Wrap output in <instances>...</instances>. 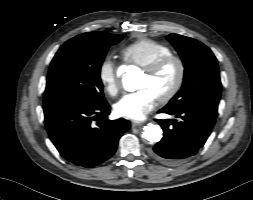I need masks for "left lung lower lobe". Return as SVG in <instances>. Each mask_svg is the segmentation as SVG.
I'll return each mask as SVG.
<instances>
[{
	"label": "left lung lower lobe",
	"instance_id": "left-lung-lower-lobe-1",
	"mask_svg": "<svg viewBox=\"0 0 253 200\" xmlns=\"http://www.w3.org/2000/svg\"><path fill=\"white\" fill-rule=\"evenodd\" d=\"M218 105L201 103L179 109L162 108L159 113L176 119L157 120L163 138L151 150L150 156L163 164L174 165L193 156L205 144L217 116Z\"/></svg>",
	"mask_w": 253,
	"mask_h": 200
}]
</instances>
